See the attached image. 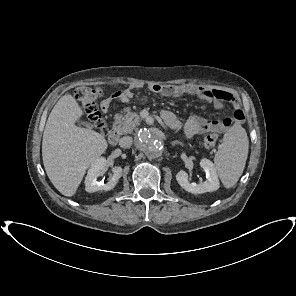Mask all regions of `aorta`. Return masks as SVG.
I'll return each mask as SVG.
<instances>
[{"label":"aorta","mask_w":296,"mask_h":296,"mask_svg":"<svg viewBox=\"0 0 296 296\" xmlns=\"http://www.w3.org/2000/svg\"><path fill=\"white\" fill-rule=\"evenodd\" d=\"M135 144L139 150L150 158L159 157L164 150L161 141L147 129H142L137 133Z\"/></svg>","instance_id":"762f6f07"}]
</instances>
